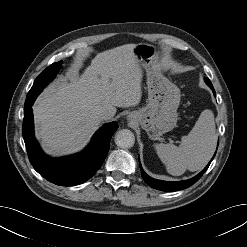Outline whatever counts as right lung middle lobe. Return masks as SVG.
Masks as SVG:
<instances>
[{"instance_id":"obj_1","label":"right lung middle lobe","mask_w":247,"mask_h":247,"mask_svg":"<svg viewBox=\"0 0 247 247\" xmlns=\"http://www.w3.org/2000/svg\"><path fill=\"white\" fill-rule=\"evenodd\" d=\"M62 61L53 63L48 66L35 80L31 90L29 92H38L40 93L43 88L53 80L57 72L59 71Z\"/></svg>"}]
</instances>
